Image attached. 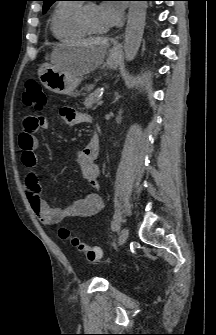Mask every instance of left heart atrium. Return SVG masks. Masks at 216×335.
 Segmentation results:
<instances>
[{"instance_id":"obj_1","label":"left heart atrium","mask_w":216,"mask_h":335,"mask_svg":"<svg viewBox=\"0 0 216 335\" xmlns=\"http://www.w3.org/2000/svg\"><path fill=\"white\" fill-rule=\"evenodd\" d=\"M99 13L105 30H108L121 23L123 7L116 2L104 1L99 6Z\"/></svg>"}]
</instances>
